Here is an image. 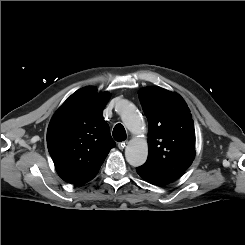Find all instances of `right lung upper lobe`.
I'll return each instance as SVG.
<instances>
[{"label":"right lung upper lobe","mask_w":245,"mask_h":245,"mask_svg":"<svg viewBox=\"0 0 245 245\" xmlns=\"http://www.w3.org/2000/svg\"><path fill=\"white\" fill-rule=\"evenodd\" d=\"M108 92L84 87L57 110L47 131V146L59 176L81 185L93 179L111 148L115 146L102 110Z\"/></svg>","instance_id":"right-lung-upper-lobe-1"}]
</instances>
